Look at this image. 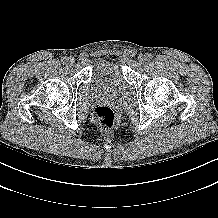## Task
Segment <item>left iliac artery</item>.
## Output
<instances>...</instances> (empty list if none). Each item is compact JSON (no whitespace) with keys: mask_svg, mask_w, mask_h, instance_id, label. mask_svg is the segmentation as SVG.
Segmentation results:
<instances>
[{"mask_svg":"<svg viewBox=\"0 0 218 218\" xmlns=\"http://www.w3.org/2000/svg\"><path fill=\"white\" fill-rule=\"evenodd\" d=\"M150 59H152V54L147 53V54H146V60H150Z\"/></svg>","mask_w":218,"mask_h":218,"instance_id":"obj_1","label":"left iliac artery"}]
</instances>
